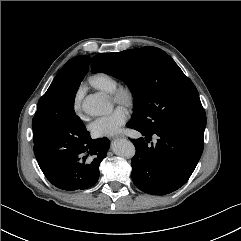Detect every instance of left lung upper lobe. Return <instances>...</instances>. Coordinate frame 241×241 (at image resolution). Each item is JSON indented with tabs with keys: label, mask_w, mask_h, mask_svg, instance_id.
<instances>
[{
	"label": "left lung upper lobe",
	"mask_w": 241,
	"mask_h": 241,
	"mask_svg": "<svg viewBox=\"0 0 241 241\" xmlns=\"http://www.w3.org/2000/svg\"><path fill=\"white\" fill-rule=\"evenodd\" d=\"M91 62L92 73L103 72L128 85L133 93L131 120L146 132L170 124L205 129L206 114L196 87L163 50L146 46L100 53Z\"/></svg>",
	"instance_id": "obj_1"
}]
</instances>
